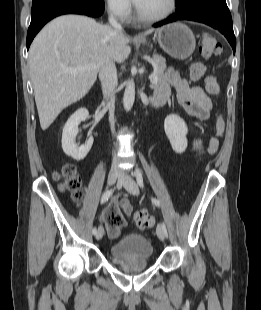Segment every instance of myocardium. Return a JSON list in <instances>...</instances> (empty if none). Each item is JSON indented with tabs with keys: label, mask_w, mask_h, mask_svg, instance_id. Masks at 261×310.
Returning a JSON list of instances; mask_svg holds the SVG:
<instances>
[{
	"label": "myocardium",
	"mask_w": 261,
	"mask_h": 310,
	"mask_svg": "<svg viewBox=\"0 0 261 310\" xmlns=\"http://www.w3.org/2000/svg\"><path fill=\"white\" fill-rule=\"evenodd\" d=\"M177 6V0H169V5L165 11L158 15L154 16H147L140 12L138 7L135 8L136 11V17L138 20L145 22V23H155L162 21L166 18H168L176 9Z\"/></svg>",
	"instance_id": "obj_1"
}]
</instances>
